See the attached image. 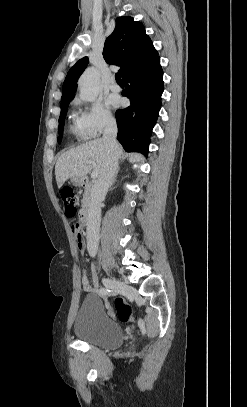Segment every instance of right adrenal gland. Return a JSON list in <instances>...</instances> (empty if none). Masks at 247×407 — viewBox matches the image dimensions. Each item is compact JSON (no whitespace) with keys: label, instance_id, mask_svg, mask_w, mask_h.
I'll use <instances>...</instances> for the list:
<instances>
[{"label":"right adrenal gland","instance_id":"2a0ac1e0","mask_svg":"<svg viewBox=\"0 0 247 407\" xmlns=\"http://www.w3.org/2000/svg\"><path fill=\"white\" fill-rule=\"evenodd\" d=\"M115 181H116V176L113 178L111 185H113L115 183Z\"/></svg>","mask_w":247,"mask_h":407}]
</instances>
